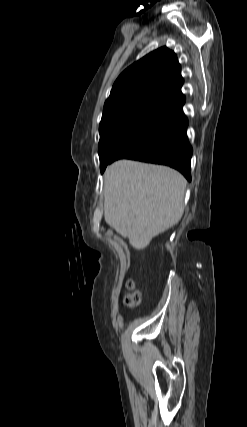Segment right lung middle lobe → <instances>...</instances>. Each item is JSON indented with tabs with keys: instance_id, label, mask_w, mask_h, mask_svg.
<instances>
[{
	"instance_id": "dd1d6c3e",
	"label": "right lung middle lobe",
	"mask_w": 247,
	"mask_h": 427,
	"mask_svg": "<svg viewBox=\"0 0 247 427\" xmlns=\"http://www.w3.org/2000/svg\"><path fill=\"white\" fill-rule=\"evenodd\" d=\"M151 112L152 110L144 108H132L102 116L99 126L100 141L98 150L101 172L105 169L120 143Z\"/></svg>"
}]
</instances>
